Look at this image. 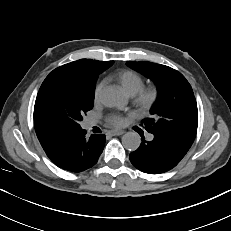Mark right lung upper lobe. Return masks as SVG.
Wrapping results in <instances>:
<instances>
[{"label":"right lung upper lobe","mask_w":231,"mask_h":231,"mask_svg":"<svg viewBox=\"0 0 231 231\" xmlns=\"http://www.w3.org/2000/svg\"><path fill=\"white\" fill-rule=\"evenodd\" d=\"M112 62L80 59L60 66L46 77L38 94L52 87H65L84 93L94 91L98 74L109 68ZM34 127L39 141L58 133L37 116H34Z\"/></svg>","instance_id":"1"}]
</instances>
